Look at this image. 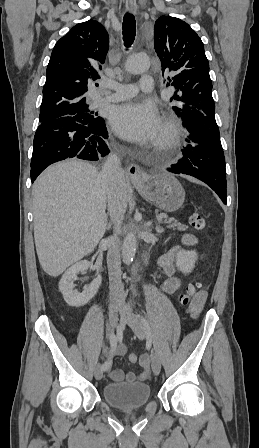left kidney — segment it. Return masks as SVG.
Returning a JSON list of instances; mask_svg holds the SVG:
<instances>
[{
    "mask_svg": "<svg viewBox=\"0 0 259 448\" xmlns=\"http://www.w3.org/2000/svg\"><path fill=\"white\" fill-rule=\"evenodd\" d=\"M196 260L197 254L195 250H192V252H188V250H180L177 254L176 264L183 274H189V272H192Z\"/></svg>",
    "mask_w": 259,
    "mask_h": 448,
    "instance_id": "1",
    "label": "left kidney"
}]
</instances>
